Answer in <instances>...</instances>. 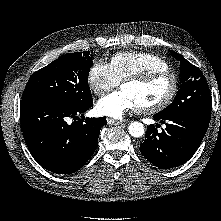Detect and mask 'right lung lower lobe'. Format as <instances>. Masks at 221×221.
I'll return each mask as SVG.
<instances>
[{"label": "right lung lower lobe", "mask_w": 221, "mask_h": 221, "mask_svg": "<svg viewBox=\"0 0 221 221\" xmlns=\"http://www.w3.org/2000/svg\"><path fill=\"white\" fill-rule=\"evenodd\" d=\"M84 107L43 98H28L20 103V121L27 147L45 169L58 174L79 170L98 145L104 117L85 118ZM81 115V119L78 118ZM73 118L69 123L68 119Z\"/></svg>", "instance_id": "right-lung-lower-lobe-1"}]
</instances>
